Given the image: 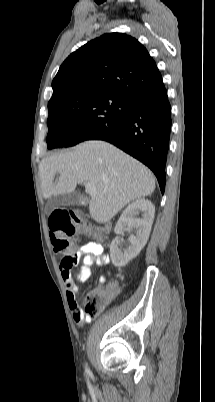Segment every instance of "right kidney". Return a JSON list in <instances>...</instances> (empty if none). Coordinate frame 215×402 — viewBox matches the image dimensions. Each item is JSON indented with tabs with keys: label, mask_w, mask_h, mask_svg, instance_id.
I'll return each instance as SVG.
<instances>
[{
	"label": "right kidney",
	"mask_w": 215,
	"mask_h": 402,
	"mask_svg": "<svg viewBox=\"0 0 215 402\" xmlns=\"http://www.w3.org/2000/svg\"><path fill=\"white\" fill-rule=\"evenodd\" d=\"M141 213V218L136 215ZM155 207L151 201L144 198L136 199L129 204L122 212L118 220L114 232L121 235L126 227L134 228L135 235H130L129 245L127 248H121V241L117 236L110 245V256L112 263L116 267L126 266L132 259L138 256L143 247L146 245L152 223L154 220Z\"/></svg>",
	"instance_id": "right-kidney-1"
}]
</instances>
